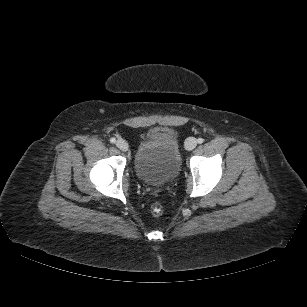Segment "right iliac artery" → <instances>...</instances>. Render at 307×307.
<instances>
[{"instance_id":"right-iliac-artery-1","label":"right iliac artery","mask_w":307,"mask_h":307,"mask_svg":"<svg viewBox=\"0 0 307 307\" xmlns=\"http://www.w3.org/2000/svg\"><path fill=\"white\" fill-rule=\"evenodd\" d=\"M110 142H111V143H115V142H116V139H115V138H111V139H110Z\"/></svg>"}]
</instances>
